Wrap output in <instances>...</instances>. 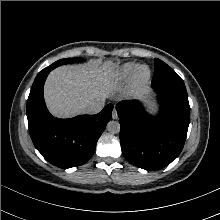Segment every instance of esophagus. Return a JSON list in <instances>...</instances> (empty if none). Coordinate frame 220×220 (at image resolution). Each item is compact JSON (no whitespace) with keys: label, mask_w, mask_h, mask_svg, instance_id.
Wrapping results in <instances>:
<instances>
[{"label":"esophagus","mask_w":220,"mask_h":220,"mask_svg":"<svg viewBox=\"0 0 220 220\" xmlns=\"http://www.w3.org/2000/svg\"><path fill=\"white\" fill-rule=\"evenodd\" d=\"M118 118V113L114 107L113 112H112V119H117Z\"/></svg>","instance_id":"esophagus-1"}]
</instances>
